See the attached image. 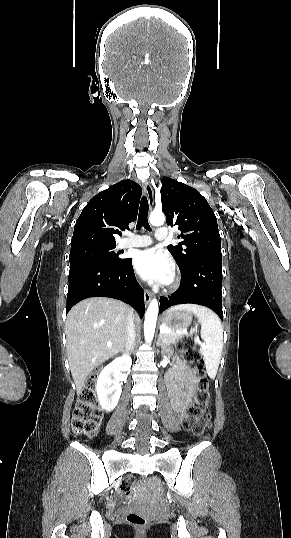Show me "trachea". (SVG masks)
Segmentation results:
<instances>
[{
	"mask_svg": "<svg viewBox=\"0 0 291 538\" xmlns=\"http://www.w3.org/2000/svg\"><path fill=\"white\" fill-rule=\"evenodd\" d=\"M148 210V200L146 197H142L139 208L138 222L136 226L137 229H140V227L143 226L146 230L151 231V228L148 223Z\"/></svg>",
	"mask_w": 291,
	"mask_h": 538,
	"instance_id": "trachea-1",
	"label": "trachea"
}]
</instances>
